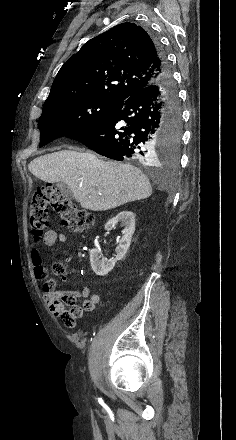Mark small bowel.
Segmentation results:
<instances>
[{"label":"small bowel","instance_id":"small-bowel-1","mask_svg":"<svg viewBox=\"0 0 236 440\" xmlns=\"http://www.w3.org/2000/svg\"><path fill=\"white\" fill-rule=\"evenodd\" d=\"M67 241V237L64 233H58L55 230H49L44 234L43 237V246L45 247H53L56 244H63ZM39 253L34 252L33 258L39 259ZM62 295L66 298L69 303H72L71 306L68 307L67 312L74 318V320L81 318L85 312H90L94 310L95 306L99 302V296L95 294H91L90 288L85 286L76 291L63 292ZM43 298L47 305L49 306L50 311L60 317L63 318V313L60 305L54 302L53 297L44 291ZM78 299H83V304L81 306L76 305V301ZM67 330H75L77 324L75 321H67L65 324Z\"/></svg>","mask_w":236,"mask_h":440}]
</instances>
